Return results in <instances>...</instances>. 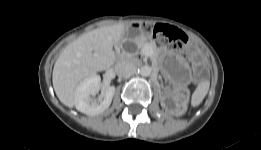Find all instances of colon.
<instances>
[{"instance_id":"obj_1","label":"colon","mask_w":261,"mask_h":150,"mask_svg":"<svg viewBox=\"0 0 261 150\" xmlns=\"http://www.w3.org/2000/svg\"><path fill=\"white\" fill-rule=\"evenodd\" d=\"M142 31L152 35L158 43L171 50H180L187 42V37L183 32L169 25L144 24Z\"/></svg>"}]
</instances>
